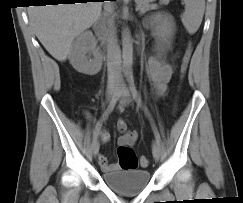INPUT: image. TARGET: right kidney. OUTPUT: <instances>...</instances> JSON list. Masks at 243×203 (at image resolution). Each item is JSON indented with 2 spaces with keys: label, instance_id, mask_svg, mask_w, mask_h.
<instances>
[{
  "label": "right kidney",
  "instance_id": "1",
  "mask_svg": "<svg viewBox=\"0 0 243 203\" xmlns=\"http://www.w3.org/2000/svg\"><path fill=\"white\" fill-rule=\"evenodd\" d=\"M69 58L71 65L80 73L95 75L101 70L103 57L96 48V40L91 31H84L77 37Z\"/></svg>",
  "mask_w": 243,
  "mask_h": 203
}]
</instances>
